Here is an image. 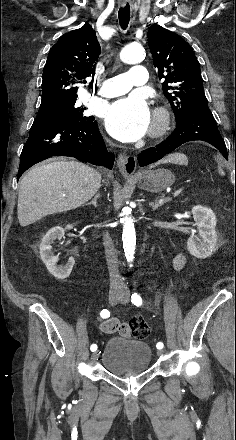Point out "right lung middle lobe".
Returning a JSON list of instances; mask_svg holds the SVG:
<instances>
[{"label":"right lung middle lobe","instance_id":"1","mask_svg":"<svg viewBox=\"0 0 236 440\" xmlns=\"http://www.w3.org/2000/svg\"><path fill=\"white\" fill-rule=\"evenodd\" d=\"M75 103L76 99L62 103L40 106L37 115H57L67 117L76 121L89 120L93 118V116H85L83 114L85 108L77 107Z\"/></svg>","mask_w":236,"mask_h":440}]
</instances>
